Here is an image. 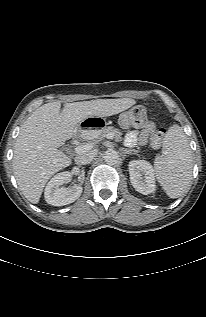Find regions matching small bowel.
Listing matches in <instances>:
<instances>
[{"instance_id": "1", "label": "small bowel", "mask_w": 206, "mask_h": 317, "mask_svg": "<svg viewBox=\"0 0 206 317\" xmlns=\"http://www.w3.org/2000/svg\"><path fill=\"white\" fill-rule=\"evenodd\" d=\"M155 130L153 122H148L142 130L130 131L126 137L125 142L128 146H135L137 144L143 145L146 143L149 135Z\"/></svg>"}]
</instances>
